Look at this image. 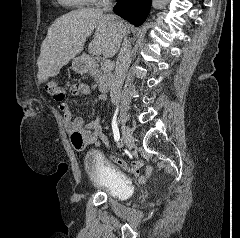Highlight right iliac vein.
Instances as JSON below:
<instances>
[{
  "label": "right iliac vein",
  "mask_w": 240,
  "mask_h": 238,
  "mask_svg": "<svg viewBox=\"0 0 240 238\" xmlns=\"http://www.w3.org/2000/svg\"><path fill=\"white\" fill-rule=\"evenodd\" d=\"M121 132H122L123 141L127 144L128 148L129 149L133 148L134 136H133L132 130L128 126L122 125Z\"/></svg>",
  "instance_id": "1"
}]
</instances>
